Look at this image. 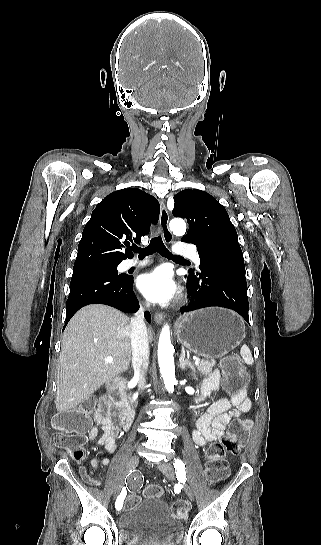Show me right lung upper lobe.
Masks as SVG:
<instances>
[{
    "label": "right lung upper lobe",
    "instance_id": "right-lung-upper-lobe-1",
    "mask_svg": "<svg viewBox=\"0 0 321 545\" xmlns=\"http://www.w3.org/2000/svg\"><path fill=\"white\" fill-rule=\"evenodd\" d=\"M159 212L158 201L138 188L122 189L106 196L83 230L73 270L118 265L131 258L129 242L140 243L150 225L157 223Z\"/></svg>",
    "mask_w": 321,
    "mask_h": 545
}]
</instances>
